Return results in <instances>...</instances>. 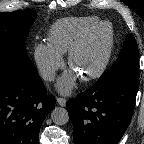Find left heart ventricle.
<instances>
[{
    "mask_svg": "<svg viewBox=\"0 0 144 144\" xmlns=\"http://www.w3.org/2000/svg\"><path fill=\"white\" fill-rule=\"evenodd\" d=\"M108 36V27L100 29L89 38L76 54L72 69L77 75H85L99 65L107 48Z\"/></svg>",
    "mask_w": 144,
    "mask_h": 144,
    "instance_id": "1",
    "label": "left heart ventricle"
}]
</instances>
